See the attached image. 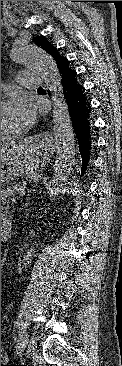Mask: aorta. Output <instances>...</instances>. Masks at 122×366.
I'll return each mask as SVG.
<instances>
[{"mask_svg": "<svg viewBox=\"0 0 122 366\" xmlns=\"http://www.w3.org/2000/svg\"><path fill=\"white\" fill-rule=\"evenodd\" d=\"M14 63L36 72L45 82L53 100L52 122L56 144L51 194L58 192L75 167L74 129L65 101L61 76L53 57L31 43H16L11 49Z\"/></svg>", "mask_w": 122, "mask_h": 366, "instance_id": "762f6f07", "label": "aorta"}]
</instances>
